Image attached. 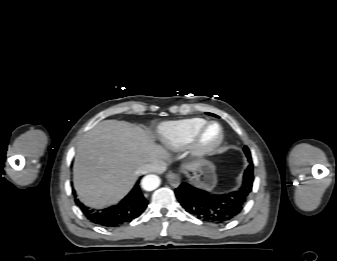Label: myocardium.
<instances>
[{
  "label": "myocardium",
  "instance_id": "myocardium-1",
  "mask_svg": "<svg viewBox=\"0 0 337 261\" xmlns=\"http://www.w3.org/2000/svg\"><path fill=\"white\" fill-rule=\"evenodd\" d=\"M213 125L217 126L219 130L218 138L211 145L204 146L201 142L202 136L206 131V129ZM223 141H224V130L222 126L216 121H208L204 123L193 135L189 143V152L194 158L203 159L215 153L218 150V148L222 145Z\"/></svg>",
  "mask_w": 337,
  "mask_h": 261
}]
</instances>
